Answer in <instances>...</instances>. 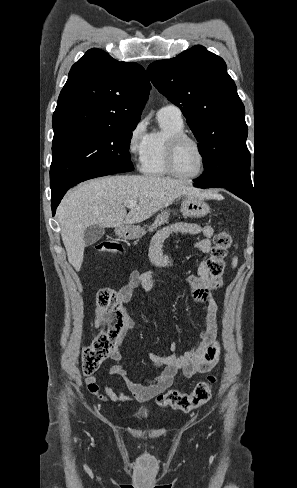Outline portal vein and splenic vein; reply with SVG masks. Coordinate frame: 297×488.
I'll list each match as a JSON object with an SVG mask.
<instances>
[{
	"instance_id": "1",
	"label": "portal vein and splenic vein",
	"mask_w": 297,
	"mask_h": 488,
	"mask_svg": "<svg viewBox=\"0 0 297 488\" xmlns=\"http://www.w3.org/2000/svg\"><path fill=\"white\" fill-rule=\"evenodd\" d=\"M137 205V201H131L129 202V204L127 205V208H133Z\"/></svg>"
}]
</instances>
